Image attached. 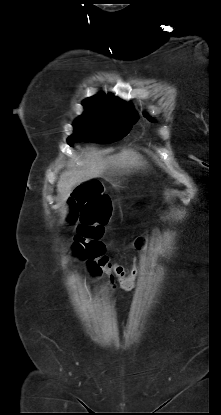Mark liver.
Masks as SVG:
<instances>
[{"label": "liver", "instance_id": "1", "mask_svg": "<svg viewBox=\"0 0 221 415\" xmlns=\"http://www.w3.org/2000/svg\"><path fill=\"white\" fill-rule=\"evenodd\" d=\"M87 162L81 169H70L61 173L57 182V192L61 203L69 198L72 188L87 180L102 177L105 173L130 172L143 167L146 162L133 150H122L120 153L106 158L96 157L92 149L87 154Z\"/></svg>", "mask_w": 221, "mask_h": 415}]
</instances>
